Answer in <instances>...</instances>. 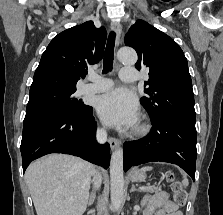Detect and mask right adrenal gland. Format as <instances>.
Returning <instances> with one entry per match:
<instances>
[{
    "instance_id": "2a0ac1e0",
    "label": "right adrenal gland",
    "mask_w": 223,
    "mask_h": 215,
    "mask_svg": "<svg viewBox=\"0 0 223 215\" xmlns=\"http://www.w3.org/2000/svg\"><path fill=\"white\" fill-rule=\"evenodd\" d=\"M95 191H96L95 187H92V191H91V193L89 195V199H88L87 205H92V203H94L95 197H96Z\"/></svg>"
}]
</instances>
